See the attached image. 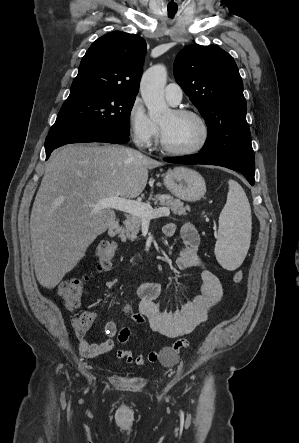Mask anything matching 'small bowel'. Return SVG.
<instances>
[{"label":"small bowel","mask_w":299,"mask_h":443,"mask_svg":"<svg viewBox=\"0 0 299 443\" xmlns=\"http://www.w3.org/2000/svg\"><path fill=\"white\" fill-rule=\"evenodd\" d=\"M176 227L170 223L164 226L163 232L171 237L175 234ZM182 247L175 258V265L178 269L185 270L192 267H200V283L198 289L177 311H169L159 305L162 296L161 285L152 281H140L137 287V294L140 299L138 308L135 311V326H142L145 323L157 334L178 338L189 334L197 325L205 321L208 311L219 303L223 297L224 289L220 279L211 270L205 267L199 255L200 237L197 229L191 223H185L181 229ZM92 320L95 313H89ZM105 333L108 338L100 343H90L84 339L80 341V352L85 358H95L114 350V337H117L120 344L128 343L131 335L130 327L118 329L114 321L105 324ZM188 346L185 339L177 340L169 350L175 357L179 351ZM116 358L128 364L135 363L144 366L148 362L154 363L159 360L156 351H150L146 356L137 355L126 349H118Z\"/></svg>","instance_id":"1"}]
</instances>
